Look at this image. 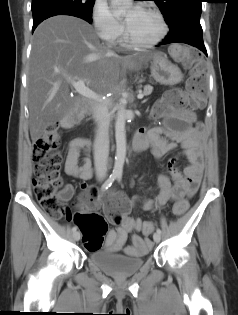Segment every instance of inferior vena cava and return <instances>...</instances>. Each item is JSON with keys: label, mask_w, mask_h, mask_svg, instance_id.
Instances as JSON below:
<instances>
[{"label": "inferior vena cava", "mask_w": 238, "mask_h": 315, "mask_svg": "<svg viewBox=\"0 0 238 315\" xmlns=\"http://www.w3.org/2000/svg\"><path fill=\"white\" fill-rule=\"evenodd\" d=\"M93 117L97 124L94 139V167L97 178H105L107 175V164L109 156V137L107 106L105 103L97 102L93 107Z\"/></svg>", "instance_id": "obj_1"}]
</instances>
